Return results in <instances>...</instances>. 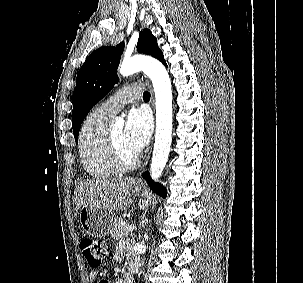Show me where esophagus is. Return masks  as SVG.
I'll return each mask as SVG.
<instances>
[{
    "label": "esophagus",
    "mask_w": 303,
    "mask_h": 283,
    "mask_svg": "<svg viewBox=\"0 0 303 283\" xmlns=\"http://www.w3.org/2000/svg\"><path fill=\"white\" fill-rule=\"evenodd\" d=\"M151 94H152V102L154 104V97H153V92L151 91ZM149 158H150V154L148 155L147 159L145 160V162L143 163L141 169H140V173L145 169V167L147 166L148 164V161H149ZM141 183V179L140 177L138 176L137 177V184Z\"/></svg>",
    "instance_id": "34e87169"
}]
</instances>
